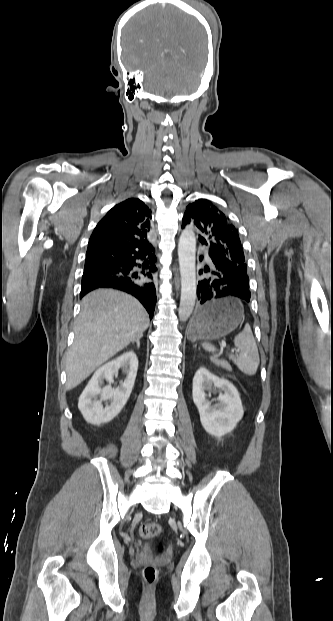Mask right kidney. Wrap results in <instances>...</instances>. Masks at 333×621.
<instances>
[{
	"mask_svg": "<svg viewBox=\"0 0 333 621\" xmlns=\"http://www.w3.org/2000/svg\"><path fill=\"white\" fill-rule=\"evenodd\" d=\"M119 368L126 374L124 382L117 388L107 385L101 388L104 380L113 382ZM138 369V358L133 351H127L114 360L101 366L92 376L79 397L78 408L84 419L91 424L111 421L126 404L135 383ZM100 395V399L97 396ZM110 400L105 407L102 401Z\"/></svg>",
	"mask_w": 333,
	"mask_h": 621,
	"instance_id": "obj_1",
	"label": "right kidney"
}]
</instances>
